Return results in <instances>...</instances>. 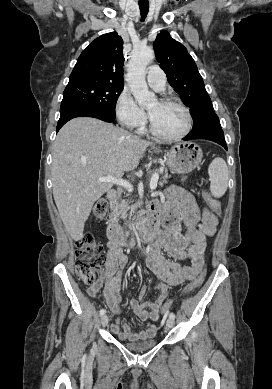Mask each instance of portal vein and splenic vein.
Instances as JSON below:
<instances>
[{
	"label": "portal vein and splenic vein",
	"instance_id": "1",
	"mask_svg": "<svg viewBox=\"0 0 272 389\" xmlns=\"http://www.w3.org/2000/svg\"><path fill=\"white\" fill-rule=\"evenodd\" d=\"M158 180H159V174L158 173L153 174V176H152V178L150 180V189L151 190H155L156 189ZM99 181H101V182H110V183L116 184V185H118L120 187H123L125 189H128L130 191L133 190L132 185L128 181L123 180L121 178H114V177H111V176H107V177L99 178Z\"/></svg>",
	"mask_w": 272,
	"mask_h": 389
}]
</instances>
